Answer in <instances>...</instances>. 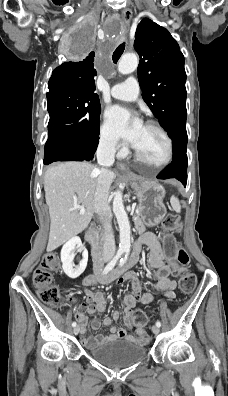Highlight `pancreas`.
<instances>
[{
  "mask_svg": "<svg viewBox=\"0 0 228 396\" xmlns=\"http://www.w3.org/2000/svg\"><path fill=\"white\" fill-rule=\"evenodd\" d=\"M135 212H138V209H135ZM133 219H134V223H135L137 232L140 235H144L145 234V229H146V226H144V223L141 222V220L139 219L138 215H134Z\"/></svg>",
  "mask_w": 228,
  "mask_h": 396,
  "instance_id": "pancreas-1",
  "label": "pancreas"
}]
</instances>
